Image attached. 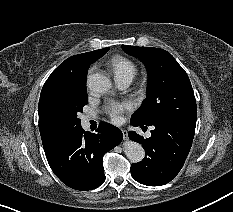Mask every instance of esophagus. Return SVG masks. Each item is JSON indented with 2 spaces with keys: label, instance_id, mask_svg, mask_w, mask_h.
Instances as JSON below:
<instances>
[{
  "label": "esophagus",
  "instance_id": "obj_1",
  "mask_svg": "<svg viewBox=\"0 0 233 212\" xmlns=\"http://www.w3.org/2000/svg\"><path fill=\"white\" fill-rule=\"evenodd\" d=\"M122 133H123V138H124L125 140H127V139H128V133H127V131L124 130V129H122Z\"/></svg>",
  "mask_w": 233,
  "mask_h": 212
}]
</instances>
